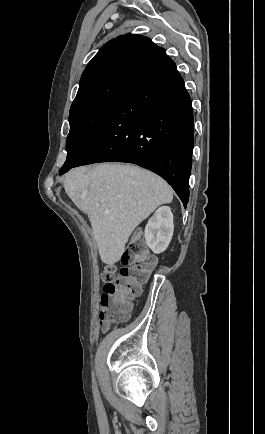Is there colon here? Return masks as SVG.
Here are the masks:
<instances>
[{"mask_svg": "<svg viewBox=\"0 0 265 434\" xmlns=\"http://www.w3.org/2000/svg\"><path fill=\"white\" fill-rule=\"evenodd\" d=\"M144 246L140 238L130 240L124 250L121 265L106 266L101 274V281L105 293L102 295L100 326L97 329L99 335H106L107 327H118L119 322L127 321L125 313L128 303L126 298H136L140 295L141 288L148 282V277L155 265V258L143 252Z\"/></svg>", "mask_w": 265, "mask_h": 434, "instance_id": "1", "label": "colon"}]
</instances>
